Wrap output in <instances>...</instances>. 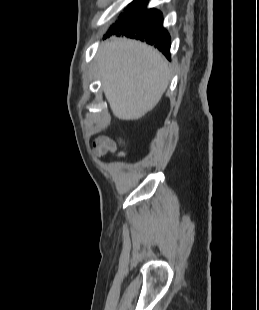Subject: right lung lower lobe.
<instances>
[{
    "mask_svg": "<svg viewBox=\"0 0 259 310\" xmlns=\"http://www.w3.org/2000/svg\"><path fill=\"white\" fill-rule=\"evenodd\" d=\"M109 34H116L117 36L125 35L126 37L154 45L167 58H170V35L163 28L162 14L158 10L150 9L125 28L108 33L107 36Z\"/></svg>",
    "mask_w": 259,
    "mask_h": 310,
    "instance_id": "1",
    "label": "right lung lower lobe"
}]
</instances>
